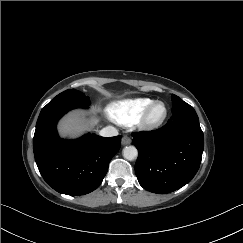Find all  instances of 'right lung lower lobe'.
<instances>
[{
	"label": "right lung lower lobe",
	"mask_w": 243,
	"mask_h": 243,
	"mask_svg": "<svg viewBox=\"0 0 243 243\" xmlns=\"http://www.w3.org/2000/svg\"><path fill=\"white\" fill-rule=\"evenodd\" d=\"M80 106L54 104L41 110L33 138L35 161L44 180L67 195H84L103 181L109 162L118 152L121 136L87 134L77 140L59 138L58 120ZM87 108V107H82Z\"/></svg>",
	"instance_id": "right-lung-lower-lobe-1"
}]
</instances>
